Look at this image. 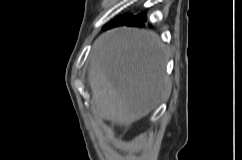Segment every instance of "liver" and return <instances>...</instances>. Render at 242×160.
Segmentation results:
<instances>
[{
	"label": "liver",
	"mask_w": 242,
	"mask_h": 160,
	"mask_svg": "<svg viewBox=\"0 0 242 160\" xmlns=\"http://www.w3.org/2000/svg\"><path fill=\"white\" fill-rule=\"evenodd\" d=\"M166 50L155 33L115 28L93 44L88 82L99 113L129 125L155 109L169 90Z\"/></svg>",
	"instance_id": "liver-1"
}]
</instances>
